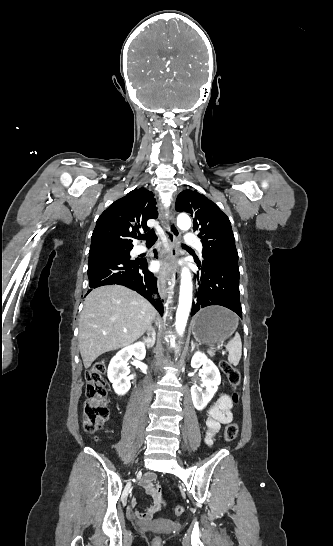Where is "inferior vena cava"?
I'll use <instances>...</instances> for the list:
<instances>
[{
    "instance_id": "inferior-vena-cava-1",
    "label": "inferior vena cava",
    "mask_w": 333,
    "mask_h": 546,
    "mask_svg": "<svg viewBox=\"0 0 333 546\" xmlns=\"http://www.w3.org/2000/svg\"><path fill=\"white\" fill-rule=\"evenodd\" d=\"M147 330H148V333H147V334H148V336H149V335H150V331L152 330L151 325L148 327Z\"/></svg>"
}]
</instances>
